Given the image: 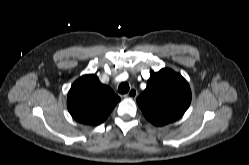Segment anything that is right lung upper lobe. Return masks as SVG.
Masks as SVG:
<instances>
[{
	"label": "right lung upper lobe",
	"instance_id": "obj_1",
	"mask_svg": "<svg viewBox=\"0 0 249 165\" xmlns=\"http://www.w3.org/2000/svg\"><path fill=\"white\" fill-rule=\"evenodd\" d=\"M120 97L102 84L94 74L77 79L68 92L67 107L72 117L83 124L99 125L109 116Z\"/></svg>",
	"mask_w": 249,
	"mask_h": 165
}]
</instances>
